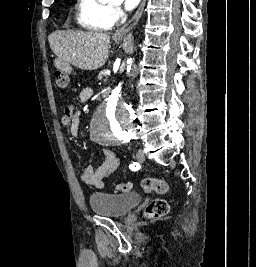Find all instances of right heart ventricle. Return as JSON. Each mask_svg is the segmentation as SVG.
I'll list each match as a JSON object with an SVG mask.
<instances>
[{"instance_id": "e07e8e85", "label": "right heart ventricle", "mask_w": 256, "mask_h": 267, "mask_svg": "<svg viewBox=\"0 0 256 267\" xmlns=\"http://www.w3.org/2000/svg\"><path fill=\"white\" fill-rule=\"evenodd\" d=\"M113 5L112 0H82L81 7L88 11V18L82 22L84 28H99V22ZM71 28V27H64ZM100 30V28H99Z\"/></svg>"}]
</instances>
